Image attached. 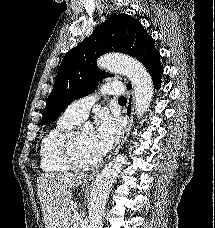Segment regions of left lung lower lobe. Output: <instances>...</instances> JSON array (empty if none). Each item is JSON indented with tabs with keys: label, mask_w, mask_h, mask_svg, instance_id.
I'll list each match as a JSON object with an SVG mask.
<instances>
[{
	"label": "left lung lower lobe",
	"mask_w": 215,
	"mask_h": 228,
	"mask_svg": "<svg viewBox=\"0 0 215 228\" xmlns=\"http://www.w3.org/2000/svg\"><path fill=\"white\" fill-rule=\"evenodd\" d=\"M148 69L150 75L152 76L153 83L155 87L158 89L161 84V76L163 73V69L160 65V53L157 51L151 61L146 66ZM128 88H131V85L127 86Z\"/></svg>",
	"instance_id": "left-lung-lower-lobe-1"
}]
</instances>
